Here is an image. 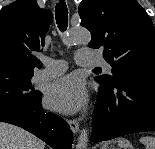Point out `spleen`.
<instances>
[{"mask_svg": "<svg viewBox=\"0 0 155 149\" xmlns=\"http://www.w3.org/2000/svg\"><path fill=\"white\" fill-rule=\"evenodd\" d=\"M140 142L145 145L146 149H155V137L152 136L141 137Z\"/></svg>", "mask_w": 155, "mask_h": 149, "instance_id": "obj_1", "label": "spleen"}]
</instances>
